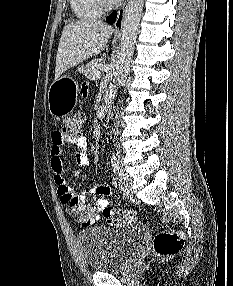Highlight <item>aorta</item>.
I'll return each mask as SVG.
<instances>
[{
    "label": "aorta",
    "mask_w": 233,
    "mask_h": 286,
    "mask_svg": "<svg viewBox=\"0 0 233 286\" xmlns=\"http://www.w3.org/2000/svg\"><path fill=\"white\" fill-rule=\"evenodd\" d=\"M143 6L144 0H130L125 12L121 37V51L116 67L117 86L122 85L128 75Z\"/></svg>",
    "instance_id": "762f6f07"
}]
</instances>
